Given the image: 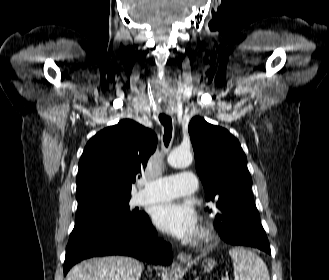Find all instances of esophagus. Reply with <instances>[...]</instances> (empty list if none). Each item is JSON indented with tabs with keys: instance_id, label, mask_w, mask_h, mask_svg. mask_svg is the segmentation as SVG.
Returning <instances> with one entry per match:
<instances>
[{
	"instance_id": "obj_1",
	"label": "esophagus",
	"mask_w": 329,
	"mask_h": 280,
	"mask_svg": "<svg viewBox=\"0 0 329 280\" xmlns=\"http://www.w3.org/2000/svg\"><path fill=\"white\" fill-rule=\"evenodd\" d=\"M177 258L180 262L186 263V262H189L191 260V255L187 254V253H184V252H181V253L178 254Z\"/></svg>"
}]
</instances>
